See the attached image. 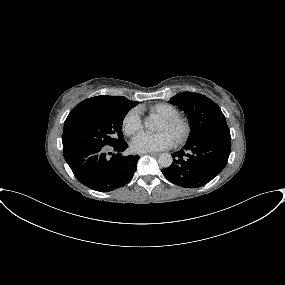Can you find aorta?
<instances>
[{"label":"aorta","instance_id":"762f6f07","mask_svg":"<svg viewBox=\"0 0 285 285\" xmlns=\"http://www.w3.org/2000/svg\"><path fill=\"white\" fill-rule=\"evenodd\" d=\"M145 127L148 129H152L153 128L152 121L146 120ZM172 162H173V158L169 153H162L158 157V163L163 168H167V167L171 166Z\"/></svg>","mask_w":285,"mask_h":285}]
</instances>
